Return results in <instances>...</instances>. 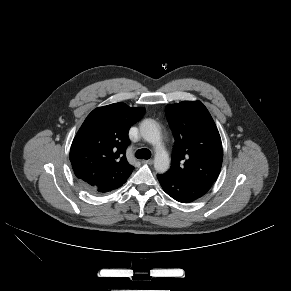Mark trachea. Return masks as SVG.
<instances>
[{"mask_svg":"<svg viewBox=\"0 0 291 291\" xmlns=\"http://www.w3.org/2000/svg\"><path fill=\"white\" fill-rule=\"evenodd\" d=\"M135 155L138 159H149L151 157V152L147 148H142L137 150Z\"/></svg>","mask_w":291,"mask_h":291,"instance_id":"obj_1","label":"trachea"}]
</instances>
